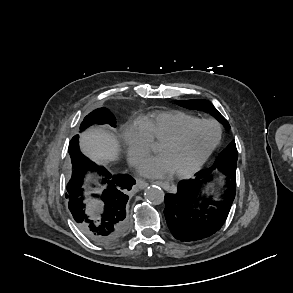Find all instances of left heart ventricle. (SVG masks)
<instances>
[{
  "instance_id": "1",
  "label": "left heart ventricle",
  "mask_w": 293,
  "mask_h": 293,
  "mask_svg": "<svg viewBox=\"0 0 293 293\" xmlns=\"http://www.w3.org/2000/svg\"><path fill=\"white\" fill-rule=\"evenodd\" d=\"M217 129L211 124H197L184 137L171 145L159 144L158 152L170 163L174 172L192 167L213 143Z\"/></svg>"
}]
</instances>
